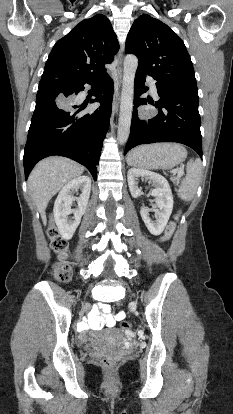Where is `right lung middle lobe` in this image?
<instances>
[{
    "label": "right lung middle lobe",
    "instance_id": "1",
    "mask_svg": "<svg viewBox=\"0 0 233 414\" xmlns=\"http://www.w3.org/2000/svg\"><path fill=\"white\" fill-rule=\"evenodd\" d=\"M73 82L71 81H63V80H42L39 83V88L45 87V86H60V87H66L71 85Z\"/></svg>",
    "mask_w": 233,
    "mask_h": 414
}]
</instances>
